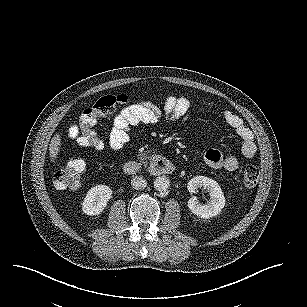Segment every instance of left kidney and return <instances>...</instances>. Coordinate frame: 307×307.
Instances as JSON below:
<instances>
[{"mask_svg":"<svg viewBox=\"0 0 307 307\" xmlns=\"http://www.w3.org/2000/svg\"><path fill=\"white\" fill-rule=\"evenodd\" d=\"M187 189L191 195L188 200L189 209L200 217H213L221 212L225 205V197L219 184L208 177L196 176L189 180ZM199 189L206 190L210 196L207 204H202L195 195Z\"/></svg>","mask_w":307,"mask_h":307,"instance_id":"1","label":"left kidney"}]
</instances>
